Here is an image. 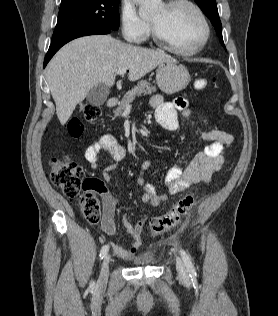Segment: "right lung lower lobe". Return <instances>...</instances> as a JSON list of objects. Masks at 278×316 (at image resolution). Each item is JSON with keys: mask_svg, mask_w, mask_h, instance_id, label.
<instances>
[{"mask_svg": "<svg viewBox=\"0 0 278 316\" xmlns=\"http://www.w3.org/2000/svg\"><path fill=\"white\" fill-rule=\"evenodd\" d=\"M111 32V29H98V30H87V31H83V32H79L76 34H73L71 36L65 37L59 41L53 42L51 43L49 50L45 56V60H44V67L47 65V63L49 62V60L52 58V56L67 42L81 37V36H88V35H101V34H108Z\"/></svg>", "mask_w": 278, "mask_h": 316, "instance_id": "98d812e1", "label": "right lung lower lobe"}]
</instances>
